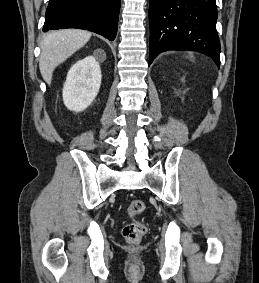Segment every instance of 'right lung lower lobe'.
Returning a JSON list of instances; mask_svg holds the SVG:
<instances>
[{
    "instance_id": "1",
    "label": "right lung lower lobe",
    "mask_w": 259,
    "mask_h": 283,
    "mask_svg": "<svg viewBox=\"0 0 259 283\" xmlns=\"http://www.w3.org/2000/svg\"><path fill=\"white\" fill-rule=\"evenodd\" d=\"M120 0H50L43 31L60 28L87 29L114 40Z\"/></svg>"
}]
</instances>
